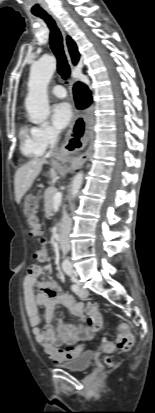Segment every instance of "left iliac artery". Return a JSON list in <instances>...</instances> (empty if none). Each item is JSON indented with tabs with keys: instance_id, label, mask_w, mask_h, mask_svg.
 <instances>
[{
	"instance_id": "left-iliac-artery-1",
	"label": "left iliac artery",
	"mask_w": 155,
	"mask_h": 413,
	"mask_svg": "<svg viewBox=\"0 0 155 413\" xmlns=\"http://www.w3.org/2000/svg\"><path fill=\"white\" fill-rule=\"evenodd\" d=\"M66 273H67V275H69L71 278H73V279L75 278V272H74V271L68 270V271H66ZM71 289H72L73 292H77L78 289H79V286L75 283V284H73V285L71 286Z\"/></svg>"
}]
</instances>
